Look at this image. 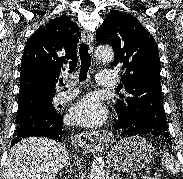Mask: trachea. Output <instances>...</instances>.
Wrapping results in <instances>:
<instances>
[{"mask_svg":"<svg viewBox=\"0 0 183 179\" xmlns=\"http://www.w3.org/2000/svg\"><path fill=\"white\" fill-rule=\"evenodd\" d=\"M79 56L81 60V69L79 74V81H85L87 79V73L91 66V57L88 53V46L85 44H82L79 48ZM61 84H63L62 81H60Z\"/></svg>","mask_w":183,"mask_h":179,"instance_id":"1","label":"trachea"}]
</instances>
